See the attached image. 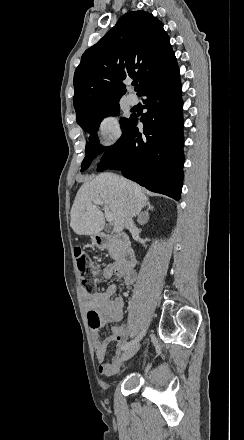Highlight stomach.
Listing matches in <instances>:
<instances>
[{"label":"stomach","instance_id":"stomach-1","mask_svg":"<svg viewBox=\"0 0 244 440\" xmlns=\"http://www.w3.org/2000/svg\"><path fill=\"white\" fill-rule=\"evenodd\" d=\"M91 238V242H92V246H97V248H100L97 240H98V234H96V236H90Z\"/></svg>","mask_w":244,"mask_h":440}]
</instances>
